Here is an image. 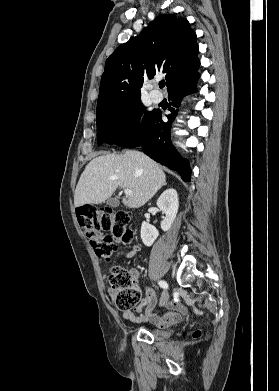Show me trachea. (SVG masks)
<instances>
[{
	"instance_id": "1",
	"label": "trachea",
	"mask_w": 279,
	"mask_h": 391,
	"mask_svg": "<svg viewBox=\"0 0 279 391\" xmlns=\"http://www.w3.org/2000/svg\"><path fill=\"white\" fill-rule=\"evenodd\" d=\"M164 86H165V81H162V82L159 83V87L160 88H163Z\"/></svg>"
}]
</instances>
